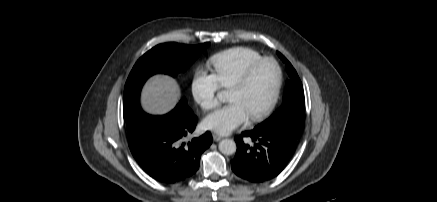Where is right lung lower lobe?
<instances>
[{"mask_svg": "<svg viewBox=\"0 0 437 202\" xmlns=\"http://www.w3.org/2000/svg\"><path fill=\"white\" fill-rule=\"evenodd\" d=\"M191 109L175 108L165 115L144 113L129 135V148L141 168L155 180L172 184L191 178L200 156L212 143L210 132L186 141L196 127Z\"/></svg>", "mask_w": 437, "mask_h": 202, "instance_id": "right-lung-lower-lobe-1", "label": "right lung lower lobe"}]
</instances>
